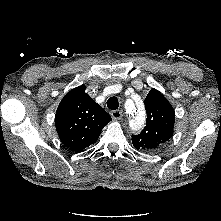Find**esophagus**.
<instances>
[{"mask_svg":"<svg viewBox=\"0 0 221 221\" xmlns=\"http://www.w3.org/2000/svg\"><path fill=\"white\" fill-rule=\"evenodd\" d=\"M110 114H111L112 118L115 120H120L122 118V112L119 110H113V111H111Z\"/></svg>","mask_w":221,"mask_h":221,"instance_id":"esophagus-1","label":"esophagus"}]
</instances>
